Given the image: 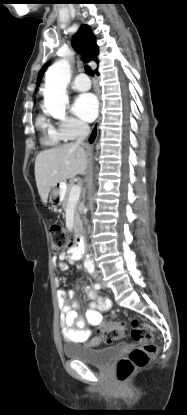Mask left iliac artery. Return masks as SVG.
Instances as JSON below:
<instances>
[{
  "label": "left iliac artery",
  "mask_w": 187,
  "mask_h": 415,
  "mask_svg": "<svg viewBox=\"0 0 187 415\" xmlns=\"http://www.w3.org/2000/svg\"><path fill=\"white\" fill-rule=\"evenodd\" d=\"M86 268L90 274H92L93 276H97V272L95 271L94 265H88ZM95 289H100L99 283L95 284Z\"/></svg>",
  "instance_id": "1"
}]
</instances>
